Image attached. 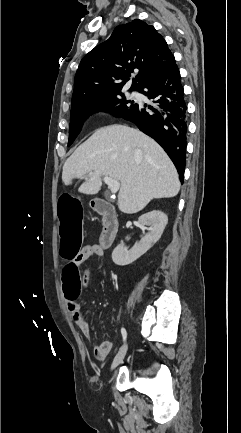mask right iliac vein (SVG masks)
<instances>
[{"instance_id":"right-iliac-vein-1","label":"right iliac vein","mask_w":241,"mask_h":433,"mask_svg":"<svg viewBox=\"0 0 241 433\" xmlns=\"http://www.w3.org/2000/svg\"><path fill=\"white\" fill-rule=\"evenodd\" d=\"M127 349H128V344L126 343L122 346V348L116 354V356L112 362V365H111V370L115 369L123 361V359L127 353Z\"/></svg>"}]
</instances>
